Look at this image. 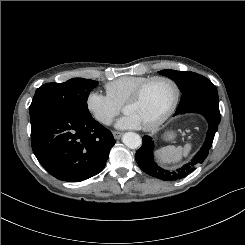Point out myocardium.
I'll use <instances>...</instances> for the list:
<instances>
[{
  "label": "myocardium",
  "mask_w": 245,
  "mask_h": 245,
  "mask_svg": "<svg viewBox=\"0 0 245 245\" xmlns=\"http://www.w3.org/2000/svg\"><path fill=\"white\" fill-rule=\"evenodd\" d=\"M155 81H165L170 83L173 88H174V100L172 102V105L170 106L169 110L164 114V116H162L159 120H157L156 122L147 125V126H143V130L145 131H152L155 130L159 127H161L164 123H166L170 117L174 114V112L176 111L178 104L180 102V97H181V89L179 84L172 78L167 77V76H154V77H150L149 79L145 80L144 82H142L133 92L132 94L126 99V101L123 104V110L125 109L126 106L133 104L135 102H137L140 97L142 96L143 91L145 90V88L151 84L152 82Z\"/></svg>",
  "instance_id": "f54148a6"
}]
</instances>
